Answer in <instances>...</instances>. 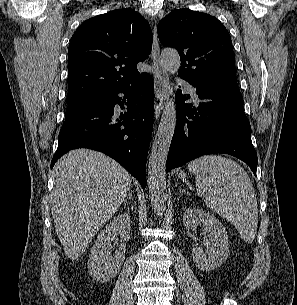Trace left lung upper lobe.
Returning <instances> with one entry per match:
<instances>
[{
    "instance_id": "5c2ea615",
    "label": "left lung upper lobe",
    "mask_w": 297,
    "mask_h": 305,
    "mask_svg": "<svg viewBox=\"0 0 297 305\" xmlns=\"http://www.w3.org/2000/svg\"><path fill=\"white\" fill-rule=\"evenodd\" d=\"M157 31L164 46L178 50L181 78L196 86L237 80L232 41L217 18L177 9L159 22Z\"/></svg>"
}]
</instances>
